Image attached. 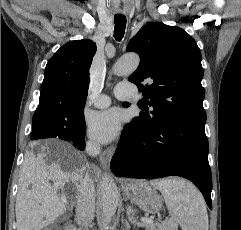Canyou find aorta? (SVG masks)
Returning <instances> with one entry per match:
<instances>
[{"label": "aorta", "mask_w": 241, "mask_h": 230, "mask_svg": "<svg viewBox=\"0 0 241 230\" xmlns=\"http://www.w3.org/2000/svg\"><path fill=\"white\" fill-rule=\"evenodd\" d=\"M137 54H127L121 57L113 66V73L118 76L132 74L139 65ZM119 201L118 187L112 177L105 175L101 183V213L104 221L111 219L115 214Z\"/></svg>", "instance_id": "aorta-1"}]
</instances>
